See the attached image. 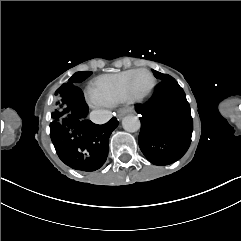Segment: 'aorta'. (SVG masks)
Here are the masks:
<instances>
[{
    "label": "aorta",
    "mask_w": 241,
    "mask_h": 241,
    "mask_svg": "<svg viewBox=\"0 0 241 241\" xmlns=\"http://www.w3.org/2000/svg\"><path fill=\"white\" fill-rule=\"evenodd\" d=\"M122 126L127 132H136L140 129V119L134 115H127L122 120Z\"/></svg>",
    "instance_id": "762f6f07"
}]
</instances>
